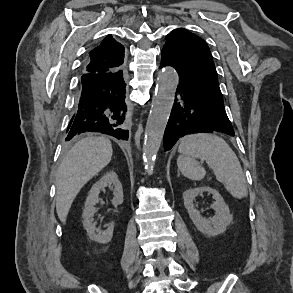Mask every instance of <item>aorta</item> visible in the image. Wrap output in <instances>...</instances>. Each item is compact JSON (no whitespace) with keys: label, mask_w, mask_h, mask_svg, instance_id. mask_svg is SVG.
Instances as JSON below:
<instances>
[{"label":"aorta","mask_w":293,"mask_h":293,"mask_svg":"<svg viewBox=\"0 0 293 293\" xmlns=\"http://www.w3.org/2000/svg\"><path fill=\"white\" fill-rule=\"evenodd\" d=\"M178 82V74L172 67L165 68L158 76L143 143V161L147 172L153 171L155 158L174 103Z\"/></svg>","instance_id":"762f6f07"}]
</instances>
